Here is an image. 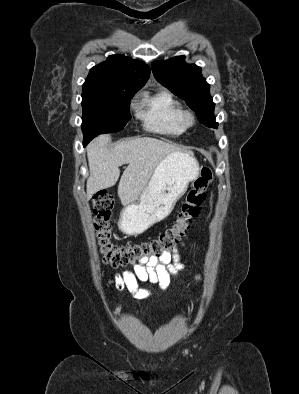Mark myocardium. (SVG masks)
I'll list each match as a JSON object with an SVG mask.
<instances>
[{"label": "myocardium", "mask_w": 299, "mask_h": 394, "mask_svg": "<svg viewBox=\"0 0 299 394\" xmlns=\"http://www.w3.org/2000/svg\"><path fill=\"white\" fill-rule=\"evenodd\" d=\"M182 122L185 128L193 127L196 123V117L191 111H184L182 115Z\"/></svg>", "instance_id": "myocardium-1"}]
</instances>
